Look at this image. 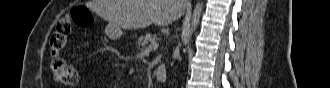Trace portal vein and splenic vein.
Wrapping results in <instances>:
<instances>
[{
  "label": "portal vein and splenic vein",
  "mask_w": 330,
  "mask_h": 88,
  "mask_svg": "<svg viewBox=\"0 0 330 88\" xmlns=\"http://www.w3.org/2000/svg\"><path fill=\"white\" fill-rule=\"evenodd\" d=\"M159 47V45L156 43L151 44L148 48H146V51L156 50Z\"/></svg>",
  "instance_id": "portal-vein-and-splenic-vein-1"
}]
</instances>
